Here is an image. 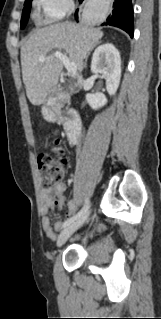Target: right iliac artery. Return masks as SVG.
<instances>
[{
	"label": "right iliac artery",
	"instance_id": "obj_1",
	"mask_svg": "<svg viewBox=\"0 0 161 319\" xmlns=\"http://www.w3.org/2000/svg\"><path fill=\"white\" fill-rule=\"evenodd\" d=\"M90 204H89V200H86L84 207L82 208V210H80L76 215H74L73 217L67 219V221L64 222L63 224V228H65L66 226H68L69 224H71L72 222H74L75 220L79 219L89 208Z\"/></svg>",
	"mask_w": 161,
	"mask_h": 319
}]
</instances>
